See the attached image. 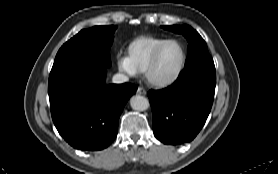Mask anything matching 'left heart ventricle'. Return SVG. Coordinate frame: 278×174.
I'll return each mask as SVG.
<instances>
[{
	"label": "left heart ventricle",
	"mask_w": 278,
	"mask_h": 174,
	"mask_svg": "<svg viewBox=\"0 0 278 174\" xmlns=\"http://www.w3.org/2000/svg\"><path fill=\"white\" fill-rule=\"evenodd\" d=\"M182 60L181 47L177 43L167 44L160 52L154 67V76L168 78L179 68Z\"/></svg>",
	"instance_id": "1"
}]
</instances>
